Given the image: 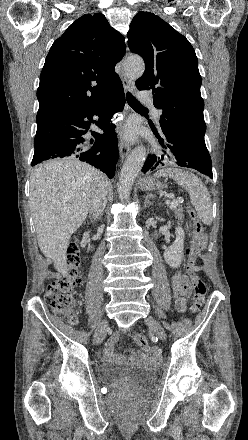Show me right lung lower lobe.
<instances>
[{
  "mask_svg": "<svg viewBox=\"0 0 248 440\" xmlns=\"http://www.w3.org/2000/svg\"><path fill=\"white\" fill-rule=\"evenodd\" d=\"M125 98L121 80L105 98L75 106L37 123L31 166L54 158H74L93 165L109 178L118 160L117 138L111 118L123 110ZM97 116L98 120H93ZM92 124L103 134L90 131ZM91 132L92 137L88 136Z\"/></svg>",
  "mask_w": 248,
  "mask_h": 440,
  "instance_id": "98d812e1",
  "label": "right lung lower lobe"
}]
</instances>
